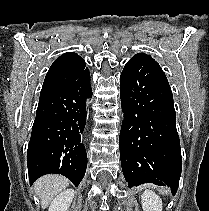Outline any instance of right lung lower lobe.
Listing matches in <instances>:
<instances>
[{"instance_id": "98d812e1", "label": "right lung lower lobe", "mask_w": 209, "mask_h": 211, "mask_svg": "<svg viewBox=\"0 0 209 211\" xmlns=\"http://www.w3.org/2000/svg\"><path fill=\"white\" fill-rule=\"evenodd\" d=\"M92 97L89 70L39 100L27 151L30 185L46 174L66 176L75 186L84 177L87 154L81 141L86 100Z\"/></svg>"}]
</instances>
